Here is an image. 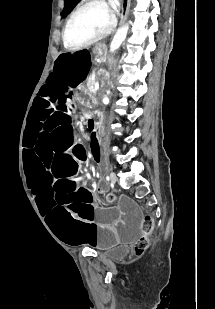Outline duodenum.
<instances>
[{
	"instance_id": "410a0bca",
	"label": "duodenum",
	"mask_w": 215,
	"mask_h": 309,
	"mask_svg": "<svg viewBox=\"0 0 215 309\" xmlns=\"http://www.w3.org/2000/svg\"><path fill=\"white\" fill-rule=\"evenodd\" d=\"M100 120H101L100 114L93 113L89 116L87 125L88 127L95 129L96 125L100 123Z\"/></svg>"
}]
</instances>
